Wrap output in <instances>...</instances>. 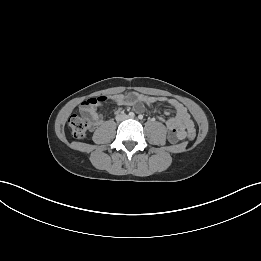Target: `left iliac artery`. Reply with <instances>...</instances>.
<instances>
[{"label": "left iliac artery", "instance_id": "obj_1", "mask_svg": "<svg viewBox=\"0 0 261 261\" xmlns=\"http://www.w3.org/2000/svg\"><path fill=\"white\" fill-rule=\"evenodd\" d=\"M138 118L141 120V119H143V116H142V115H139Z\"/></svg>", "mask_w": 261, "mask_h": 261}]
</instances>
